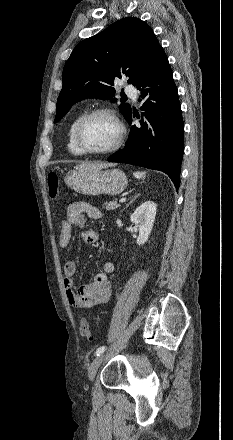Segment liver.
Returning a JSON list of instances; mask_svg holds the SVG:
<instances>
[{
    "mask_svg": "<svg viewBox=\"0 0 233 440\" xmlns=\"http://www.w3.org/2000/svg\"><path fill=\"white\" fill-rule=\"evenodd\" d=\"M113 165L114 164L112 163H83L80 165H76L74 168L76 170L85 169V168L103 169V168L111 167Z\"/></svg>",
    "mask_w": 233,
    "mask_h": 440,
    "instance_id": "6515ba94",
    "label": "liver"
}]
</instances>
